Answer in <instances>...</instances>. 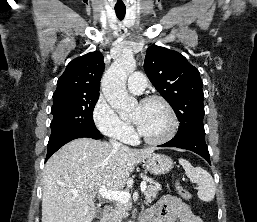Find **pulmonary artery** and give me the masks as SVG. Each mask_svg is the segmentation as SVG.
I'll return each instance as SVG.
<instances>
[{
    "label": "pulmonary artery",
    "instance_id": "1",
    "mask_svg": "<svg viewBox=\"0 0 257 222\" xmlns=\"http://www.w3.org/2000/svg\"><path fill=\"white\" fill-rule=\"evenodd\" d=\"M127 87L131 93L141 94L146 87V77L140 72L132 74L127 81Z\"/></svg>",
    "mask_w": 257,
    "mask_h": 222
}]
</instances>
